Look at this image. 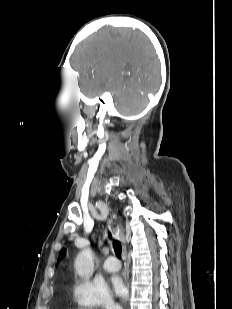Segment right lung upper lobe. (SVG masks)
<instances>
[{
  "instance_id": "1",
  "label": "right lung upper lobe",
  "mask_w": 232,
  "mask_h": 309,
  "mask_svg": "<svg viewBox=\"0 0 232 309\" xmlns=\"http://www.w3.org/2000/svg\"><path fill=\"white\" fill-rule=\"evenodd\" d=\"M64 255H65V250L63 249L59 255L58 262L63 258Z\"/></svg>"
}]
</instances>
